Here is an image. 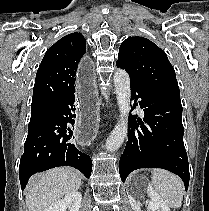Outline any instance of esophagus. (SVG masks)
I'll list each match as a JSON object with an SVG mask.
<instances>
[{"label":"esophagus","mask_w":209,"mask_h":211,"mask_svg":"<svg viewBox=\"0 0 209 211\" xmlns=\"http://www.w3.org/2000/svg\"><path fill=\"white\" fill-rule=\"evenodd\" d=\"M82 64L75 74V79H78L76 93L73 102L75 106V134L74 141H78V145H91L95 134L98 132V108L99 102L97 99V90L93 79L96 75L93 74L92 56H81Z\"/></svg>","instance_id":"obj_1"}]
</instances>
